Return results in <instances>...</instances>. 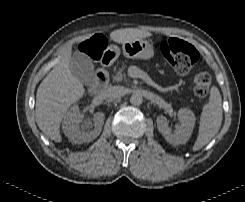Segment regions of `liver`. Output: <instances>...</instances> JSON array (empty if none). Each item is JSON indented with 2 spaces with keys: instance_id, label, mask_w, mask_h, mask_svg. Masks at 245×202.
Listing matches in <instances>:
<instances>
[{
  "instance_id": "1",
  "label": "liver",
  "mask_w": 245,
  "mask_h": 202,
  "mask_svg": "<svg viewBox=\"0 0 245 202\" xmlns=\"http://www.w3.org/2000/svg\"><path fill=\"white\" fill-rule=\"evenodd\" d=\"M150 32L135 28L112 31L110 39L117 43H126L149 37ZM91 34L72 40L60 61L43 79L36 93L35 117L40 130L55 142H61L60 124L68 108L83 97L85 89L70 71L72 44L89 39Z\"/></svg>"
}]
</instances>
